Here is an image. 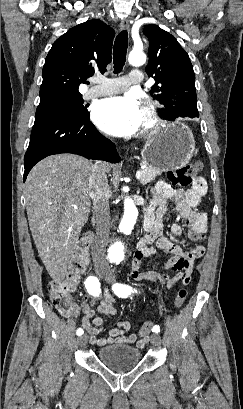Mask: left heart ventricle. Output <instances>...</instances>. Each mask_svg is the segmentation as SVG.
<instances>
[{
	"label": "left heart ventricle",
	"instance_id": "1",
	"mask_svg": "<svg viewBox=\"0 0 243 409\" xmlns=\"http://www.w3.org/2000/svg\"><path fill=\"white\" fill-rule=\"evenodd\" d=\"M144 110V109H143ZM147 122H148V118H147V114H146V112H145V110H144V121H143V126L144 125H146L147 124Z\"/></svg>",
	"mask_w": 243,
	"mask_h": 409
}]
</instances>
